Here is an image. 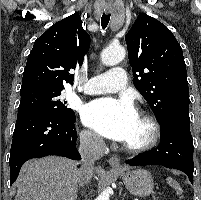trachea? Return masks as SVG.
Here are the masks:
<instances>
[{
	"mask_svg": "<svg viewBox=\"0 0 201 200\" xmlns=\"http://www.w3.org/2000/svg\"><path fill=\"white\" fill-rule=\"evenodd\" d=\"M110 14H103L101 17V26L103 29H105L110 21Z\"/></svg>",
	"mask_w": 201,
	"mask_h": 200,
	"instance_id": "1",
	"label": "trachea"
}]
</instances>
